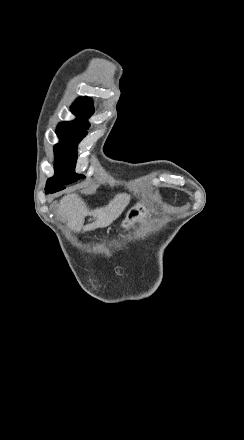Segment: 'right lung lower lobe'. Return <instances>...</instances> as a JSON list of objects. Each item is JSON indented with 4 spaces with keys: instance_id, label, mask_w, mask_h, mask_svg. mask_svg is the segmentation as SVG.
Wrapping results in <instances>:
<instances>
[{
    "instance_id": "right-lung-lower-lobe-1",
    "label": "right lung lower lobe",
    "mask_w": 244,
    "mask_h": 440,
    "mask_svg": "<svg viewBox=\"0 0 244 440\" xmlns=\"http://www.w3.org/2000/svg\"><path fill=\"white\" fill-rule=\"evenodd\" d=\"M65 185H46L45 191L46 194L55 193L57 191L63 190Z\"/></svg>"
}]
</instances>
